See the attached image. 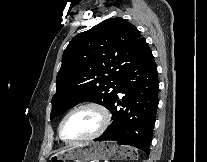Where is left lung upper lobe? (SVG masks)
<instances>
[{
  "mask_svg": "<svg viewBox=\"0 0 207 162\" xmlns=\"http://www.w3.org/2000/svg\"><path fill=\"white\" fill-rule=\"evenodd\" d=\"M148 50L138 29L120 17L76 35L62 57L51 119L83 101L110 109L123 78Z\"/></svg>",
  "mask_w": 207,
  "mask_h": 162,
  "instance_id": "5c2ea615",
  "label": "left lung upper lobe"
}]
</instances>
